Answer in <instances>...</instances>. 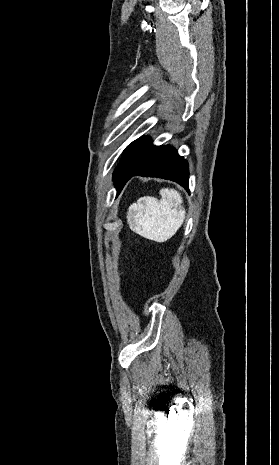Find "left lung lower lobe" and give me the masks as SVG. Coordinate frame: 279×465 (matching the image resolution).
<instances>
[{
	"mask_svg": "<svg viewBox=\"0 0 279 465\" xmlns=\"http://www.w3.org/2000/svg\"><path fill=\"white\" fill-rule=\"evenodd\" d=\"M133 176L169 179L177 182L189 191L188 163L169 145L161 146L153 156L132 175V177Z\"/></svg>",
	"mask_w": 279,
	"mask_h": 465,
	"instance_id": "obj_1",
	"label": "left lung lower lobe"
}]
</instances>
